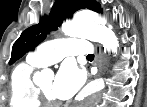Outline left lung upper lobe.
Returning <instances> with one entry per match:
<instances>
[{
	"label": "left lung upper lobe",
	"mask_w": 147,
	"mask_h": 107,
	"mask_svg": "<svg viewBox=\"0 0 147 107\" xmlns=\"http://www.w3.org/2000/svg\"><path fill=\"white\" fill-rule=\"evenodd\" d=\"M80 9H90L101 12L100 4L95 0H56L49 16L40 19V22L27 28L14 43L9 64L24 56L27 51H32L40 44L51 30H56L63 20L71 18Z\"/></svg>",
	"instance_id": "left-lung-upper-lobe-1"
}]
</instances>
